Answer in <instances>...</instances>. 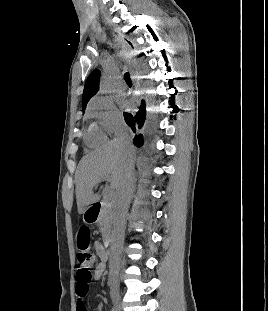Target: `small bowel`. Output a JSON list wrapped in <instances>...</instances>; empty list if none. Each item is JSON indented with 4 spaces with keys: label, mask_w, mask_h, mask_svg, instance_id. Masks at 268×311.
<instances>
[{
    "label": "small bowel",
    "mask_w": 268,
    "mask_h": 311,
    "mask_svg": "<svg viewBox=\"0 0 268 311\" xmlns=\"http://www.w3.org/2000/svg\"><path fill=\"white\" fill-rule=\"evenodd\" d=\"M94 248L96 252V258L93 259L91 266L93 269V279L95 281H98L106 273V262L108 259V253L105 250V248L102 246V244L98 241L94 242ZM75 293L77 297L76 311H87L83 303V298L85 296H82L78 292L77 284L75 286Z\"/></svg>",
    "instance_id": "small-bowel-1"
}]
</instances>
